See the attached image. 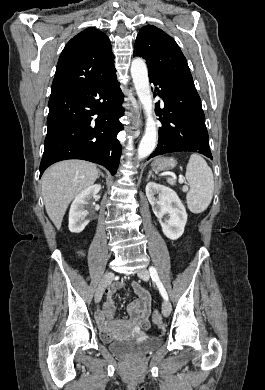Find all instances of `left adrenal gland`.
I'll return each instance as SVG.
<instances>
[{"label":"left adrenal gland","instance_id":"1","mask_svg":"<svg viewBox=\"0 0 265 390\" xmlns=\"http://www.w3.org/2000/svg\"><path fill=\"white\" fill-rule=\"evenodd\" d=\"M151 176L154 178V174H153V172L150 170V171H149V174H148V176H147V181L149 180V178H150Z\"/></svg>","mask_w":265,"mask_h":390}]
</instances>
